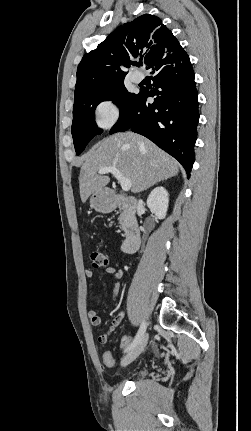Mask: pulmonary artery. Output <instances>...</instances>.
Segmentation results:
<instances>
[{"instance_id":"1","label":"pulmonary artery","mask_w":251,"mask_h":431,"mask_svg":"<svg viewBox=\"0 0 251 431\" xmlns=\"http://www.w3.org/2000/svg\"><path fill=\"white\" fill-rule=\"evenodd\" d=\"M134 82H140L142 80V75L139 73H135L132 77Z\"/></svg>"}]
</instances>
